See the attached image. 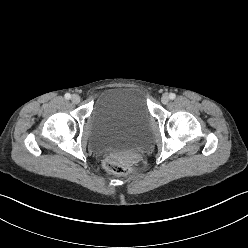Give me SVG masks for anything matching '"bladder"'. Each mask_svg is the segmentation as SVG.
Wrapping results in <instances>:
<instances>
[{"label": "bladder", "mask_w": 248, "mask_h": 248, "mask_svg": "<svg viewBox=\"0 0 248 248\" xmlns=\"http://www.w3.org/2000/svg\"><path fill=\"white\" fill-rule=\"evenodd\" d=\"M152 120L142 90L133 87L109 89L95 102L89 116V146L98 153H136L147 141Z\"/></svg>", "instance_id": "bladder-1"}]
</instances>
